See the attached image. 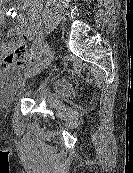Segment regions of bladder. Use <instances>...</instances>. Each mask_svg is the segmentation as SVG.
Wrapping results in <instances>:
<instances>
[{
  "instance_id": "obj_1",
  "label": "bladder",
  "mask_w": 133,
  "mask_h": 173,
  "mask_svg": "<svg viewBox=\"0 0 133 173\" xmlns=\"http://www.w3.org/2000/svg\"><path fill=\"white\" fill-rule=\"evenodd\" d=\"M23 89L18 67L0 69V102L12 101Z\"/></svg>"
}]
</instances>
